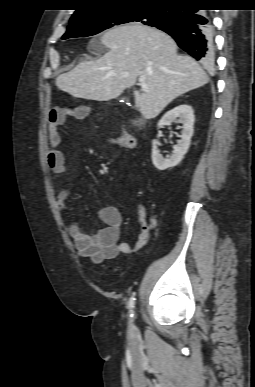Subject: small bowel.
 Returning <instances> with one entry per match:
<instances>
[{"mask_svg":"<svg viewBox=\"0 0 255 387\" xmlns=\"http://www.w3.org/2000/svg\"><path fill=\"white\" fill-rule=\"evenodd\" d=\"M64 113L54 110L50 115L49 139L51 150L48 155V165L56 173L64 171V158L58 149L61 137L58 126L64 122ZM76 188L74 182L61 186L56 195V206L64 223V226L74 242L75 248L82 257L90 258L95 263L113 259L120 254H130L144 247L148 240V233L143 230L139 234L135 244L131 246L126 242H120L121 225L123 216L120 210L113 206H106L99 210V219L105 227L92 233L84 232L79 225L68 216V202Z\"/></svg>","mask_w":255,"mask_h":387,"instance_id":"1","label":"small bowel"}]
</instances>
